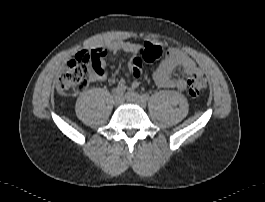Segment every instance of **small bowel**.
<instances>
[{"label":"small bowel","instance_id":"obj_1","mask_svg":"<svg viewBox=\"0 0 265 202\" xmlns=\"http://www.w3.org/2000/svg\"><path fill=\"white\" fill-rule=\"evenodd\" d=\"M149 42H145L143 45H139L133 42H125L120 41L113 45H109L106 47H102V51L106 54L99 58V63L101 66V71L96 69H92L90 72L89 79L91 81H99L103 80L106 76V59L107 57L115 53L116 51H124L128 53H135L149 45ZM176 68H181L183 75L173 79L172 74ZM129 70L132 72V63L129 65ZM202 70L198 67V65L192 60L186 53L172 49L170 52V56L167 60H165L154 72L153 81L154 83L162 88L175 87L179 90H185L188 85V80L193 75L202 76ZM118 85H124L125 81L120 80ZM138 82L134 81L131 84V88H137Z\"/></svg>","mask_w":265,"mask_h":202}]
</instances>
